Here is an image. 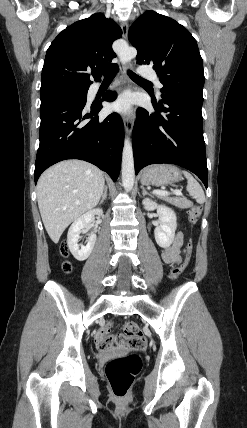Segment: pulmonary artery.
<instances>
[{
    "label": "pulmonary artery",
    "instance_id": "e3ab8cb5",
    "mask_svg": "<svg viewBox=\"0 0 247 428\" xmlns=\"http://www.w3.org/2000/svg\"><path fill=\"white\" fill-rule=\"evenodd\" d=\"M138 72H139L140 75H142V76H144L146 78L155 80L158 88H160L162 86V84L157 80L156 75H155L154 71L151 68H149L147 66H141L138 69Z\"/></svg>",
    "mask_w": 247,
    "mask_h": 428
}]
</instances>
